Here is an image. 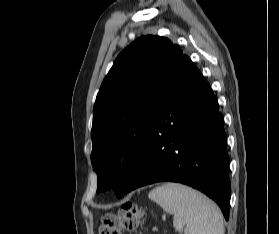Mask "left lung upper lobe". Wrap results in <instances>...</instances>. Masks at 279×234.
I'll return each instance as SVG.
<instances>
[{"label":"left lung upper lobe","mask_w":279,"mask_h":234,"mask_svg":"<svg viewBox=\"0 0 279 234\" xmlns=\"http://www.w3.org/2000/svg\"><path fill=\"white\" fill-rule=\"evenodd\" d=\"M183 53L161 36H142L116 58L93 109L91 162L97 193L121 197L140 160L149 128Z\"/></svg>","instance_id":"left-lung-upper-lobe-1"}]
</instances>
